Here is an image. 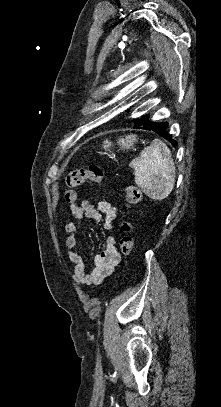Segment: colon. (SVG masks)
Returning <instances> with one entry per match:
<instances>
[{"label": "colon", "instance_id": "1", "mask_svg": "<svg viewBox=\"0 0 221 407\" xmlns=\"http://www.w3.org/2000/svg\"><path fill=\"white\" fill-rule=\"evenodd\" d=\"M105 179V172L98 164H90L85 168H78L70 172L66 178L67 190L65 198L68 202H74L78 199L77 188L86 181L100 183ZM125 200L128 205L137 204L141 200V190L135 185H128L125 188ZM122 236L119 240L120 255L123 257V263L127 264L133 250L132 224L128 220H123L120 224ZM119 263L121 258H114Z\"/></svg>", "mask_w": 221, "mask_h": 407}]
</instances>
